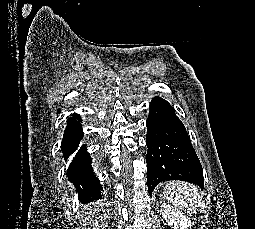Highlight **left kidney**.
I'll return each instance as SVG.
<instances>
[{"mask_svg":"<svg viewBox=\"0 0 255 229\" xmlns=\"http://www.w3.org/2000/svg\"><path fill=\"white\" fill-rule=\"evenodd\" d=\"M161 214L166 224L174 229H188L192 225L190 218L170 204L161 205Z\"/></svg>","mask_w":255,"mask_h":229,"instance_id":"1","label":"left kidney"}]
</instances>
